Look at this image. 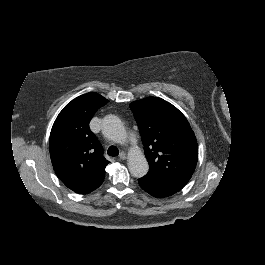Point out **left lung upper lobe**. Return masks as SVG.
Wrapping results in <instances>:
<instances>
[{"instance_id": "5c2ea615", "label": "left lung upper lobe", "mask_w": 265, "mask_h": 265, "mask_svg": "<svg viewBox=\"0 0 265 265\" xmlns=\"http://www.w3.org/2000/svg\"><path fill=\"white\" fill-rule=\"evenodd\" d=\"M149 163L145 175L157 181L186 185L198 160V145L185 116L172 104L148 97L130 104Z\"/></svg>"}]
</instances>
